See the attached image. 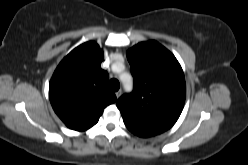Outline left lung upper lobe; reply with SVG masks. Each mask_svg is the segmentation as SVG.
Listing matches in <instances>:
<instances>
[{
	"label": "left lung upper lobe",
	"mask_w": 248,
	"mask_h": 165,
	"mask_svg": "<svg viewBox=\"0 0 248 165\" xmlns=\"http://www.w3.org/2000/svg\"><path fill=\"white\" fill-rule=\"evenodd\" d=\"M134 90L116 105L124 123L160 134L179 118L186 96L183 70L175 56L156 41L141 42L127 52Z\"/></svg>",
	"instance_id": "5c2ea615"
}]
</instances>
